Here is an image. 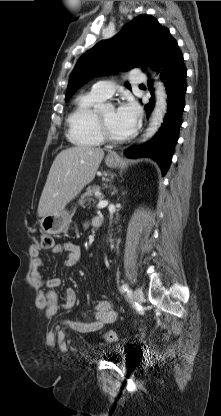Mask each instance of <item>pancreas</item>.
Wrapping results in <instances>:
<instances>
[{
    "label": "pancreas",
    "instance_id": "cf45deb5",
    "mask_svg": "<svg viewBox=\"0 0 221 416\" xmlns=\"http://www.w3.org/2000/svg\"><path fill=\"white\" fill-rule=\"evenodd\" d=\"M99 190L100 188L97 186L88 188L87 191L81 196L79 203L83 205L86 201H93V196H95L97 199H102L103 196L101 194L96 195V192H99Z\"/></svg>",
    "mask_w": 221,
    "mask_h": 416
}]
</instances>
